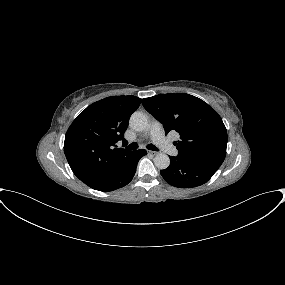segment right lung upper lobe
<instances>
[{
  "label": "right lung upper lobe",
  "instance_id": "obj_1",
  "mask_svg": "<svg viewBox=\"0 0 285 285\" xmlns=\"http://www.w3.org/2000/svg\"><path fill=\"white\" fill-rule=\"evenodd\" d=\"M136 96H112L88 106L65 135L64 152L73 171L85 184L111 176L132 158L134 151L116 148L124 141L128 118L140 105Z\"/></svg>",
  "mask_w": 285,
  "mask_h": 285
}]
</instances>
